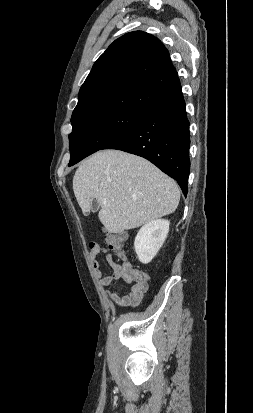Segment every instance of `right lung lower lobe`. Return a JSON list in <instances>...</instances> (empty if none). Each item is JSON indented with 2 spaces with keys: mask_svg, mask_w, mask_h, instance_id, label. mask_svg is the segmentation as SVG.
<instances>
[{
  "mask_svg": "<svg viewBox=\"0 0 253 413\" xmlns=\"http://www.w3.org/2000/svg\"><path fill=\"white\" fill-rule=\"evenodd\" d=\"M189 148V121L181 96L150 111L135 129L104 149H117L144 157L174 178L186 196Z\"/></svg>",
  "mask_w": 253,
  "mask_h": 413,
  "instance_id": "right-lung-lower-lobe-1",
  "label": "right lung lower lobe"
}]
</instances>
